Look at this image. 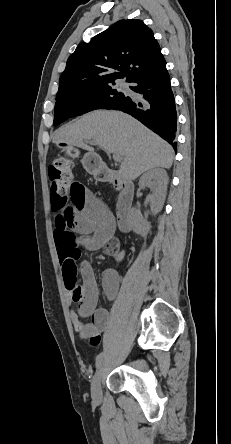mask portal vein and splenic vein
<instances>
[{
	"instance_id": "18ae733b",
	"label": "portal vein and splenic vein",
	"mask_w": 231,
	"mask_h": 444,
	"mask_svg": "<svg viewBox=\"0 0 231 444\" xmlns=\"http://www.w3.org/2000/svg\"><path fill=\"white\" fill-rule=\"evenodd\" d=\"M89 143H90V144H93V145H96V144H97V142L94 141V140L89 141ZM113 160H114L115 162H120V161H121V156H120L119 154H113Z\"/></svg>"
}]
</instances>
